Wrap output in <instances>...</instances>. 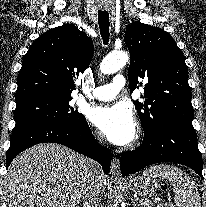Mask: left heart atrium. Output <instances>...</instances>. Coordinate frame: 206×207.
Listing matches in <instances>:
<instances>
[{
  "mask_svg": "<svg viewBox=\"0 0 206 207\" xmlns=\"http://www.w3.org/2000/svg\"><path fill=\"white\" fill-rule=\"evenodd\" d=\"M91 120L113 144L126 145L135 137V118L125 103L97 107L92 112Z\"/></svg>",
  "mask_w": 206,
  "mask_h": 207,
  "instance_id": "1",
  "label": "left heart atrium"
}]
</instances>
